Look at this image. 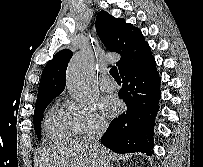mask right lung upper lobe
Listing matches in <instances>:
<instances>
[{"mask_svg": "<svg viewBox=\"0 0 203 167\" xmlns=\"http://www.w3.org/2000/svg\"><path fill=\"white\" fill-rule=\"evenodd\" d=\"M96 31L109 51L117 52L121 59L116 63L120 74L129 71L152 57L140 29L115 18L106 11L96 17ZM72 52L64 49L56 53L43 69L36 103L58 96L66 85V69Z\"/></svg>", "mask_w": 203, "mask_h": 167, "instance_id": "1", "label": "right lung upper lobe"}]
</instances>
